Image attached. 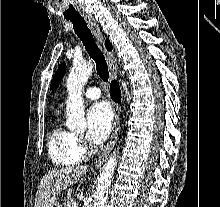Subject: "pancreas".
Instances as JSON below:
<instances>
[{
	"label": "pancreas",
	"mask_w": 220,
	"mask_h": 207,
	"mask_svg": "<svg viewBox=\"0 0 220 207\" xmlns=\"http://www.w3.org/2000/svg\"><path fill=\"white\" fill-rule=\"evenodd\" d=\"M73 202H74L73 198L70 195L67 196V200L65 202L66 207H72Z\"/></svg>",
	"instance_id": "cf45deb5"
}]
</instances>
